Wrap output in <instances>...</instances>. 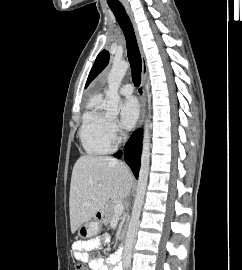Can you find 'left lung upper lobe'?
Wrapping results in <instances>:
<instances>
[{"label": "left lung upper lobe", "mask_w": 242, "mask_h": 270, "mask_svg": "<svg viewBox=\"0 0 242 270\" xmlns=\"http://www.w3.org/2000/svg\"><path fill=\"white\" fill-rule=\"evenodd\" d=\"M108 61H109V53L108 51L103 50L102 52L99 53L94 62V65L87 79L86 87L107 66Z\"/></svg>", "instance_id": "left-lung-upper-lobe-1"}]
</instances>
